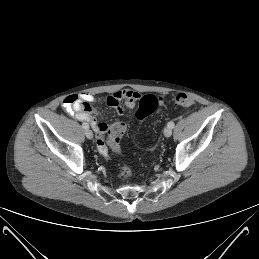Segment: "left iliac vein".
Masks as SVG:
<instances>
[{"label": "left iliac vein", "instance_id": "obj_1", "mask_svg": "<svg viewBox=\"0 0 259 259\" xmlns=\"http://www.w3.org/2000/svg\"><path fill=\"white\" fill-rule=\"evenodd\" d=\"M164 135L165 137H170L172 135V129L170 127H165L164 128Z\"/></svg>", "mask_w": 259, "mask_h": 259}]
</instances>
